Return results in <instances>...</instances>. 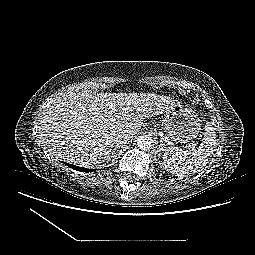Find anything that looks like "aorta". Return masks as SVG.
<instances>
[{
    "mask_svg": "<svg viewBox=\"0 0 255 255\" xmlns=\"http://www.w3.org/2000/svg\"><path fill=\"white\" fill-rule=\"evenodd\" d=\"M137 145L139 148L147 150L152 148L153 139L148 135L139 136L137 139Z\"/></svg>",
    "mask_w": 255,
    "mask_h": 255,
    "instance_id": "762f6f07",
    "label": "aorta"
}]
</instances>
